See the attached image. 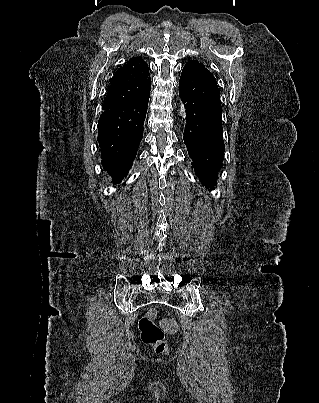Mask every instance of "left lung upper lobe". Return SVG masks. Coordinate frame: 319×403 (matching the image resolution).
Returning <instances> with one entry per match:
<instances>
[{
    "label": "left lung upper lobe",
    "mask_w": 319,
    "mask_h": 403,
    "mask_svg": "<svg viewBox=\"0 0 319 403\" xmlns=\"http://www.w3.org/2000/svg\"><path fill=\"white\" fill-rule=\"evenodd\" d=\"M186 65L188 66H194V67H198V68H202L206 71H208L209 73H211L203 63L199 62L198 60H190L186 63ZM212 74V73H211Z\"/></svg>",
    "instance_id": "left-lung-upper-lobe-1"
}]
</instances>
